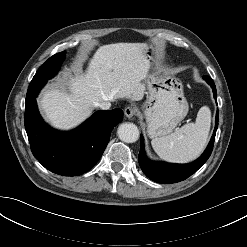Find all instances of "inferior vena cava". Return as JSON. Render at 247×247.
I'll return each mask as SVG.
<instances>
[{
	"label": "inferior vena cava",
	"instance_id": "1",
	"mask_svg": "<svg viewBox=\"0 0 247 247\" xmlns=\"http://www.w3.org/2000/svg\"><path fill=\"white\" fill-rule=\"evenodd\" d=\"M98 106L103 110H108L111 107V103L109 101H104L99 103Z\"/></svg>",
	"mask_w": 247,
	"mask_h": 247
}]
</instances>
